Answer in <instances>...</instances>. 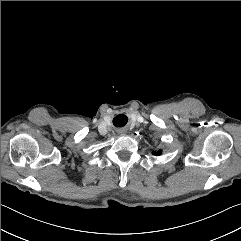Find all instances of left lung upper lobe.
<instances>
[{
    "mask_svg": "<svg viewBox=\"0 0 241 241\" xmlns=\"http://www.w3.org/2000/svg\"><path fill=\"white\" fill-rule=\"evenodd\" d=\"M155 154H156V155H160V154H161V151H158V152H156Z\"/></svg>",
    "mask_w": 241,
    "mask_h": 241,
    "instance_id": "1",
    "label": "left lung upper lobe"
}]
</instances>
